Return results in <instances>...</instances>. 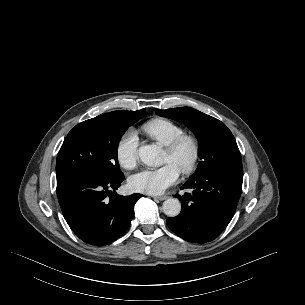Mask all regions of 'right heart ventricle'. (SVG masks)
I'll use <instances>...</instances> for the list:
<instances>
[{"instance_id": "1", "label": "right heart ventricle", "mask_w": 305, "mask_h": 305, "mask_svg": "<svg viewBox=\"0 0 305 305\" xmlns=\"http://www.w3.org/2000/svg\"><path fill=\"white\" fill-rule=\"evenodd\" d=\"M142 129L150 138L164 146L185 134L180 125L166 119L151 120L145 123Z\"/></svg>"}]
</instances>
